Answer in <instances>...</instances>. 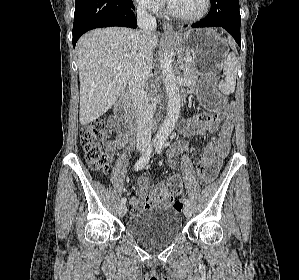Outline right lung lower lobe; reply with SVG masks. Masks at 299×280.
Masks as SVG:
<instances>
[{"mask_svg": "<svg viewBox=\"0 0 299 280\" xmlns=\"http://www.w3.org/2000/svg\"><path fill=\"white\" fill-rule=\"evenodd\" d=\"M132 0H75L73 47L85 32L108 26L136 28Z\"/></svg>", "mask_w": 299, "mask_h": 280, "instance_id": "98d812e1", "label": "right lung lower lobe"}]
</instances>
